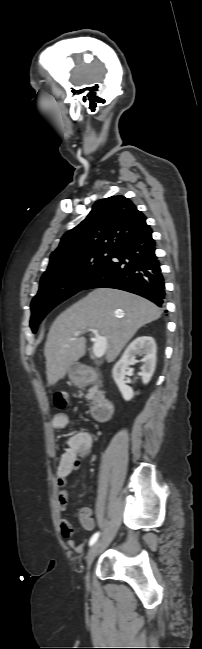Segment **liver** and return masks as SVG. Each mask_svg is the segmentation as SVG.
I'll list each match as a JSON object with an SVG mask.
<instances>
[{"mask_svg":"<svg viewBox=\"0 0 202 649\" xmlns=\"http://www.w3.org/2000/svg\"><path fill=\"white\" fill-rule=\"evenodd\" d=\"M162 314L154 303L133 293L98 288L63 311L53 322L45 343L49 385L64 378L85 354V338L76 332L95 329L106 339V358L113 361L143 325Z\"/></svg>","mask_w":202,"mask_h":649,"instance_id":"6515ba94","label":"liver"}]
</instances>
